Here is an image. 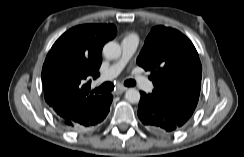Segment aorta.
<instances>
[{
	"label": "aorta",
	"instance_id": "762f6f07",
	"mask_svg": "<svg viewBox=\"0 0 244 157\" xmlns=\"http://www.w3.org/2000/svg\"><path fill=\"white\" fill-rule=\"evenodd\" d=\"M103 54L107 59H117L121 56V47L115 41H110L104 45ZM125 99L130 103L140 101V92L135 88H129L125 92Z\"/></svg>",
	"mask_w": 244,
	"mask_h": 157
}]
</instances>
